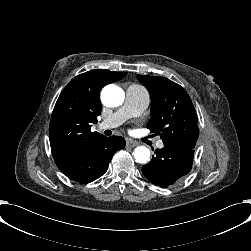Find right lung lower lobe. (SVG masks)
Here are the masks:
<instances>
[{
	"label": "right lung lower lobe",
	"instance_id": "obj_1",
	"mask_svg": "<svg viewBox=\"0 0 251 251\" xmlns=\"http://www.w3.org/2000/svg\"><path fill=\"white\" fill-rule=\"evenodd\" d=\"M125 147L120 136H102L94 141L86 153L72 164L60 169L69 179L86 184L101 177L116 151Z\"/></svg>",
	"mask_w": 251,
	"mask_h": 251
}]
</instances>
